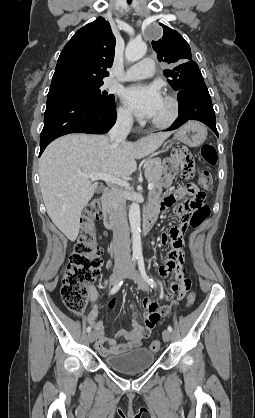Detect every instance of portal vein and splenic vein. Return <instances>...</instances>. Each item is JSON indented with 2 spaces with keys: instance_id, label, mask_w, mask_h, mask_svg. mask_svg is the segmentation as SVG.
<instances>
[{
  "instance_id": "18ae733b",
  "label": "portal vein and splenic vein",
  "mask_w": 255,
  "mask_h": 418,
  "mask_svg": "<svg viewBox=\"0 0 255 418\" xmlns=\"http://www.w3.org/2000/svg\"><path fill=\"white\" fill-rule=\"evenodd\" d=\"M80 176L89 177L92 181L96 180H103L108 183L117 184L122 187L129 188V183L123 179L110 175L108 173H91V174H84L79 173ZM153 188V183H148V190Z\"/></svg>"
}]
</instances>
